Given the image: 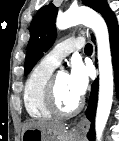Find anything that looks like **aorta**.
Returning <instances> with one entry per match:
<instances>
[{"label":"aorta","mask_w":119,"mask_h":141,"mask_svg":"<svg viewBox=\"0 0 119 141\" xmlns=\"http://www.w3.org/2000/svg\"><path fill=\"white\" fill-rule=\"evenodd\" d=\"M83 24L91 28L96 36L99 66V99L96 113V139L100 141L106 126L113 101V68L109 33L104 19L92 9L80 7L69 9L59 15L56 27L59 30Z\"/></svg>","instance_id":"obj_1"}]
</instances>
